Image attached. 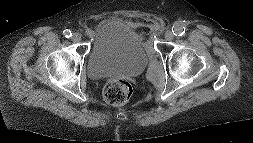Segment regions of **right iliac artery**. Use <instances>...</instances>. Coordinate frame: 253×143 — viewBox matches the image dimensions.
I'll return each instance as SVG.
<instances>
[{"label":"right iliac artery","instance_id":"82829eb1","mask_svg":"<svg viewBox=\"0 0 253 143\" xmlns=\"http://www.w3.org/2000/svg\"><path fill=\"white\" fill-rule=\"evenodd\" d=\"M63 34L65 35L66 38H69L72 36V33L70 30L66 29L63 31Z\"/></svg>","mask_w":253,"mask_h":143}]
</instances>
